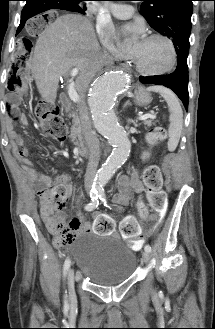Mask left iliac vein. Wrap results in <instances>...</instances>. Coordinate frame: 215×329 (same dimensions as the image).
<instances>
[{"label":"left iliac vein","instance_id":"1","mask_svg":"<svg viewBox=\"0 0 215 329\" xmlns=\"http://www.w3.org/2000/svg\"><path fill=\"white\" fill-rule=\"evenodd\" d=\"M142 259H143V262L145 264H148L149 263V260H150V255H149V252L148 251H144L143 254H142Z\"/></svg>","mask_w":215,"mask_h":329}]
</instances>
